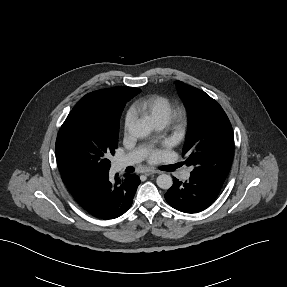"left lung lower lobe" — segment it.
Returning <instances> with one entry per match:
<instances>
[{"mask_svg": "<svg viewBox=\"0 0 287 287\" xmlns=\"http://www.w3.org/2000/svg\"><path fill=\"white\" fill-rule=\"evenodd\" d=\"M221 188L222 186L191 173L187 182L174 178V183L165 194V199L169 205L181 212L197 213L212 204Z\"/></svg>", "mask_w": 287, "mask_h": 287, "instance_id": "1", "label": "left lung lower lobe"}]
</instances>
